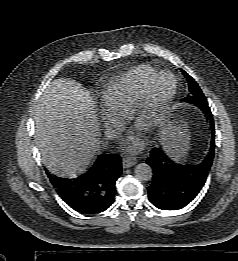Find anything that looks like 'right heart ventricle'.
I'll return each instance as SVG.
<instances>
[{
	"mask_svg": "<svg viewBox=\"0 0 238 261\" xmlns=\"http://www.w3.org/2000/svg\"><path fill=\"white\" fill-rule=\"evenodd\" d=\"M155 72L150 65L141 64L110 82L101 92L100 100L105 110L130 115L145 80Z\"/></svg>",
	"mask_w": 238,
	"mask_h": 261,
	"instance_id": "1",
	"label": "right heart ventricle"
}]
</instances>
